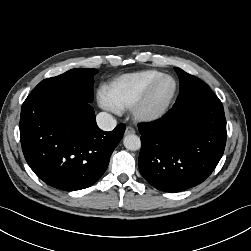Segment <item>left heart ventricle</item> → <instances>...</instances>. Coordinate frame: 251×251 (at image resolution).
Segmentation results:
<instances>
[{
    "label": "left heart ventricle",
    "mask_w": 251,
    "mask_h": 251,
    "mask_svg": "<svg viewBox=\"0 0 251 251\" xmlns=\"http://www.w3.org/2000/svg\"><path fill=\"white\" fill-rule=\"evenodd\" d=\"M173 89V82L170 79H166L162 81L158 87L155 89L151 100L150 105L151 106H158L162 104L170 95Z\"/></svg>",
    "instance_id": "1"
}]
</instances>
